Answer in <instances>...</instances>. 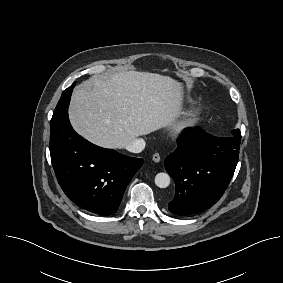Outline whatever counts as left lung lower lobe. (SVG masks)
<instances>
[{"mask_svg": "<svg viewBox=\"0 0 283 283\" xmlns=\"http://www.w3.org/2000/svg\"><path fill=\"white\" fill-rule=\"evenodd\" d=\"M241 138L215 137L205 131L183 136L165 160L176 185L171 213L185 216L214 205L226 190L237 165Z\"/></svg>", "mask_w": 283, "mask_h": 283, "instance_id": "0a47b994", "label": "left lung lower lobe"}]
</instances>
